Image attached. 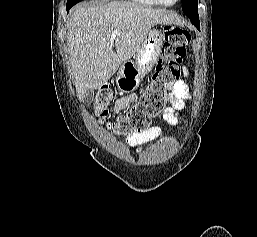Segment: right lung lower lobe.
I'll list each match as a JSON object with an SVG mask.
<instances>
[{
	"label": "right lung lower lobe",
	"mask_w": 257,
	"mask_h": 237,
	"mask_svg": "<svg viewBox=\"0 0 257 237\" xmlns=\"http://www.w3.org/2000/svg\"><path fill=\"white\" fill-rule=\"evenodd\" d=\"M70 8H71V7H68V8H67V12L69 11Z\"/></svg>",
	"instance_id": "98d812e1"
}]
</instances>
